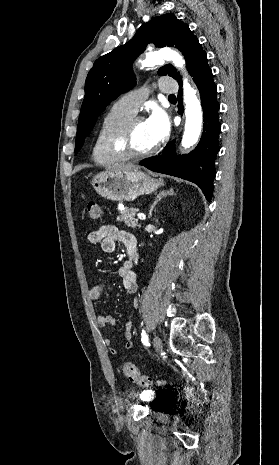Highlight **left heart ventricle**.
Here are the masks:
<instances>
[{
	"label": "left heart ventricle",
	"instance_id": "left-heart-ventricle-1",
	"mask_svg": "<svg viewBox=\"0 0 279 465\" xmlns=\"http://www.w3.org/2000/svg\"><path fill=\"white\" fill-rule=\"evenodd\" d=\"M155 145V142L144 121L138 122L132 128L127 146L131 151L142 152Z\"/></svg>",
	"mask_w": 279,
	"mask_h": 465
}]
</instances>
